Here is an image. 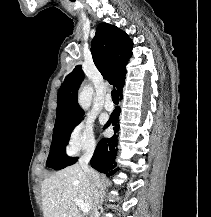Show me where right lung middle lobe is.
<instances>
[{"label":"right lung middle lobe","instance_id":"dd1d6c3e","mask_svg":"<svg viewBox=\"0 0 211 217\" xmlns=\"http://www.w3.org/2000/svg\"><path fill=\"white\" fill-rule=\"evenodd\" d=\"M80 122L81 118L54 128L52 144L46 166L54 168L55 170H60L77 162V158H69L66 155L65 148L73 128Z\"/></svg>","mask_w":211,"mask_h":217}]
</instances>
